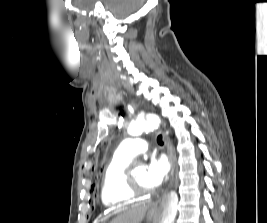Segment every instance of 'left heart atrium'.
<instances>
[{
  "label": "left heart atrium",
  "mask_w": 267,
  "mask_h": 223,
  "mask_svg": "<svg viewBox=\"0 0 267 223\" xmlns=\"http://www.w3.org/2000/svg\"><path fill=\"white\" fill-rule=\"evenodd\" d=\"M170 170V162L164 155L152 157L145 173L148 185L155 189L162 185Z\"/></svg>",
  "instance_id": "obj_1"
}]
</instances>
